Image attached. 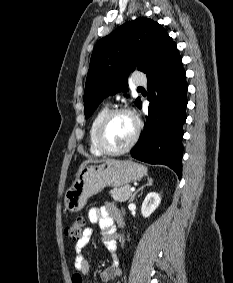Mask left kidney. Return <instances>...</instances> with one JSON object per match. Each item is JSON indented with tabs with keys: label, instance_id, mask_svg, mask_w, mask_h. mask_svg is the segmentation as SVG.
Returning <instances> with one entry per match:
<instances>
[{
	"label": "left kidney",
	"instance_id": "obj_1",
	"mask_svg": "<svg viewBox=\"0 0 233 283\" xmlns=\"http://www.w3.org/2000/svg\"><path fill=\"white\" fill-rule=\"evenodd\" d=\"M160 202H161V198L159 194L155 192H151L147 194L141 207V213L143 217L145 218L149 217L159 206Z\"/></svg>",
	"mask_w": 233,
	"mask_h": 283
}]
</instances>
